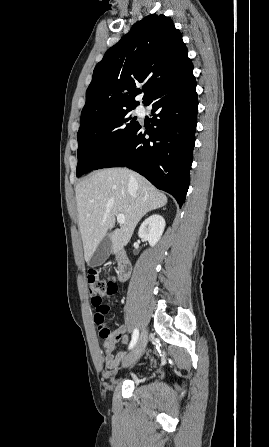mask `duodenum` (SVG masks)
<instances>
[{
    "label": "duodenum",
    "mask_w": 269,
    "mask_h": 447,
    "mask_svg": "<svg viewBox=\"0 0 269 447\" xmlns=\"http://www.w3.org/2000/svg\"><path fill=\"white\" fill-rule=\"evenodd\" d=\"M117 277L120 281H124L129 278L131 273V263L124 251H120L117 255Z\"/></svg>",
    "instance_id": "obj_1"
}]
</instances>
